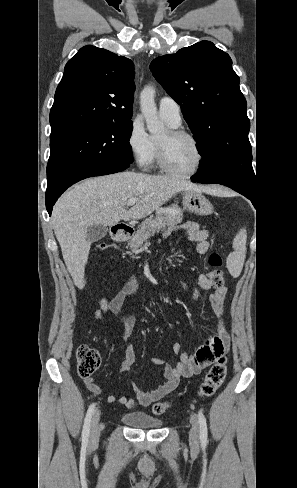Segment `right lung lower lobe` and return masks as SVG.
<instances>
[{
	"instance_id": "right-lung-lower-lobe-1",
	"label": "right lung lower lobe",
	"mask_w": 297,
	"mask_h": 488,
	"mask_svg": "<svg viewBox=\"0 0 297 488\" xmlns=\"http://www.w3.org/2000/svg\"><path fill=\"white\" fill-rule=\"evenodd\" d=\"M130 164H108V165H101V166H94L87 169H84L73 176L67 178L62 183H60L57 187H55L51 191H46V208L51 215L53 205L57 201V199L61 196V194L71 185L74 183L93 176H100V175H107L116 172L123 171L127 169Z\"/></svg>"
}]
</instances>
